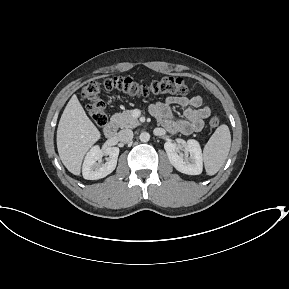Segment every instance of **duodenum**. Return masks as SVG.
Instances as JSON below:
<instances>
[{"instance_id":"duodenum-1","label":"duodenum","mask_w":289,"mask_h":289,"mask_svg":"<svg viewBox=\"0 0 289 289\" xmlns=\"http://www.w3.org/2000/svg\"><path fill=\"white\" fill-rule=\"evenodd\" d=\"M116 125L113 122L108 123L104 128V135L107 139L114 138L116 134Z\"/></svg>"}]
</instances>
